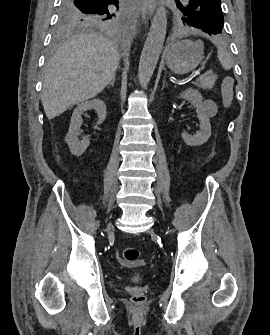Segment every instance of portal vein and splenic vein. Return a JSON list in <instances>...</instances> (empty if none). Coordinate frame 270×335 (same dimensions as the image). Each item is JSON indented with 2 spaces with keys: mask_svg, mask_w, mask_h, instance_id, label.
Here are the masks:
<instances>
[{
  "mask_svg": "<svg viewBox=\"0 0 270 335\" xmlns=\"http://www.w3.org/2000/svg\"><path fill=\"white\" fill-rule=\"evenodd\" d=\"M191 74H194V75H196V76H200L202 73L200 72V71H196V72H194V71H191ZM193 75V76H194Z\"/></svg>",
  "mask_w": 270,
  "mask_h": 335,
  "instance_id": "18ae733b",
  "label": "portal vein and splenic vein"
}]
</instances>
